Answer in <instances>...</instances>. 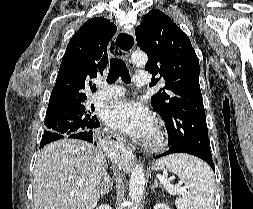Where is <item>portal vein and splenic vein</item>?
I'll use <instances>...</instances> for the list:
<instances>
[{
  "label": "portal vein and splenic vein",
  "mask_w": 253,
  "mask_h": 209,
  "mask_svg": "<svg viewBox=\"0 0 253 209\" xmlns=\"http://www.w3.org/2000/svg\"><path fill=\"white\" fill-rule=\"evenodd\" d=\"M157 178L171 195H176V194H181V193L186 192V190L184 188L172 187L171 184L169 183L168 179L164 175L163 176L157 175Z\"/></svg>",
  "instance_id": "18ae733b"
}]
</instances>
